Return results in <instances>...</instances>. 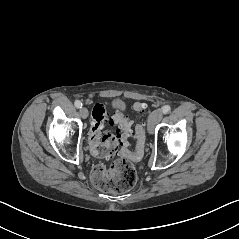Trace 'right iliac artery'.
<instances>
[{"mask_svg": "<svg viewBox=\"0 0 239 239\" xmlns=\"http://www.w3.org/2000/svg\"><path fill=\"white\" fill-rule=\"evenodd\" d=\"M74 104L76 108H82V103L80 101H75Z\"/></svg>", "mask_w": 239, "mask_h": 239, "instance_id": "82829eb1", "label": "right iliac artery"}]
</instances>
